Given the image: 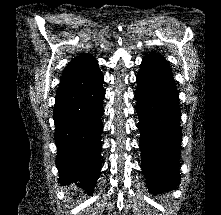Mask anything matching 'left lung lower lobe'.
Instances as JSON below:
<instances>
[{
	"label": "left lung lower lobe",
	"mask_w": 221,
	"mask_h": 215,
	"mask_svg": "<svg viewBox=\"0 0 221 215\" xmlns=\"http://www.w3.org/2000/svg\"><path fill=\"white\" fill-rule=\"evenodd\" d=\"M136 111L142 169L151 193L175 189L180 183V106L165 59L144 57L136 78Z\"/></svg>",
	"instance_id": "obj_1"
}]
</instances>
